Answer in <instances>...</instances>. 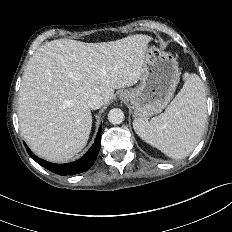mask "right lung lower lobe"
I'll list each match as a JSON object with an SVG mask.
<instances>
[{
  "instance_id": "right-lung-lower-lobe-1",
  "label": "right lung lower lobe",
  "mask_w": 232,
  "mask_h": 232,
  "mask_svg": "<svg viewBox=\"0 0 232 232\" xmlns=\"http://www.w3.org/2000/svg\"><path fill=\"white\" fill-rule=\"evenodd\" d=\"M101 132H102V126L99 127V131L97 133V136L95 138V142L92 145V147L88 150V152L79 160L67 164H54L47 162L43 159H40L37 157L33 152L27 147L25 144L26 150L28 154L41 166L48 169L49 171L59 174L61 176L64 175H75L82 172L87 171L93 163L96 161L97 154L99 153L100 149V139H101Z\"/></svg>"
}]
</instances>
